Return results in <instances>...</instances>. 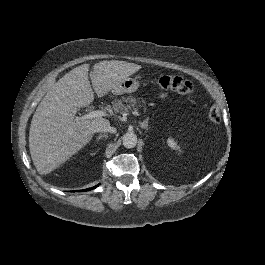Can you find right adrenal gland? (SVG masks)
<instances>
[{
  "label": "right adrenal gland",
  "mask_w": 265,
  "mask_h": 265,
  "mask_svg": "<svg viewBox=\"0 0 265 265\" xmlns=\"http://www.w3.org/2000/svg\"><path fill=\"white\" fill-rule=\"evenodd\" d=\"M101 137H105L107 139L108 135L104 134V133H101L100 135L97 136V139H100Z\"/></svg>",
  "instance_id": "1"
}]
</instances>
